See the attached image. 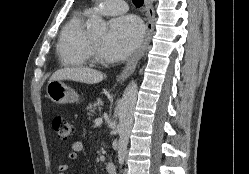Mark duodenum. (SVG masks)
Here are the masks:
<instances>
[{
    "mask_svg": "<svg viewBox=\"0 0 249 174\" xmlns=\"http://www.w3.org/2000/svg\"><path fill=\"white\" fill-rule=\"evenodd\" d=\"M106 171L108 174H117L116 165L113 163H107L106 164Z\"/></svg>",
    "mask_w": 249,
    "mask_h": 174,
    "instance_id": "410a0bca",
    "label": "duodenum"
}]
</instances>
